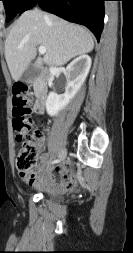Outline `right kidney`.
<instances>
[{
  "instance_id": "1",
  "label": "right kidney",
  "mask_w": 133,
  "mask_h": 253,
  "mask_svg": "<svg viewBox=\"0 0 133 253\" xmlns=\"http://www.w3.org/2000/svg\"><path fill=\"white\" fill-rule=\"evenodd\" d=\"M91 64L92 60L88 55H80L66 67L67 86L65 93L62 95L54 92L49 93L46 100L48 115L57 116L75 97L89 73Z\"/></svg>"
}]
</instances>
